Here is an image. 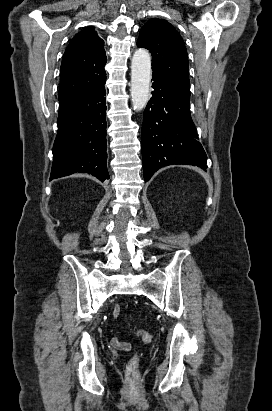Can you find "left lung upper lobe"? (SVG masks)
Listing matches in <instances>:
<instances>
[{
    "instance_id": "obj_1",
    "label": "left lung upper lobe",
    "mask_w": 272,
    "mask_h": 411,
    "mask_svg": "<svg viewBox=\"0 0 272 411\" xmlns=\"http://www.w3.org/2000/svg\"><path fill=\"white\" fill-rule=\"evenodd\" d=\"M137 46L151 52L153 75L190 94L187 50L182 37L169 22L150 19L140 31Z\"/></svg>"
}]
</instances>
